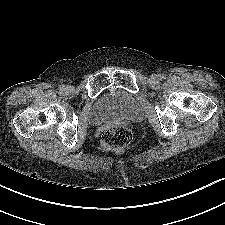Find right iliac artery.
I'll return each mask as SVG.
<instances>
[{
	"label": "right iliac artery",
	"mask_w": 225,
	"mask_h": 225,
	"mask_svg": "<svg viewBox=\"0 0 225 225\" xmlns=\"http://www.w3.org/2000/svg\"><path fill=\"white\" fill-rule=\"evenodd\" d=\"M64 89H65V86L64 85H60V87H59L60 92H63Z\"/></svg>",
	"instance_id": "obj_1"
}]
</instances>
